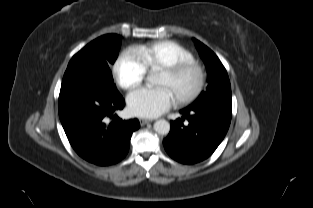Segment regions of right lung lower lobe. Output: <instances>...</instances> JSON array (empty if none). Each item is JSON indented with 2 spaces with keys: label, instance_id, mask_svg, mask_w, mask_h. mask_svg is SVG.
Instances as JSON below:
<instances>
[{
  "label": "right lung lower lobe",
  "instance_id": "98d812e1",
  "mask_svg": "<svg viewBox=\"0 0 313 208\" xmlns=\"http://www.w3.org/2000/svg\"><path fill=\"white\" fill-rule=\"evenodd\" d=\"M120 93L106 90L99 82L71 73L63 78L59 95V117L67 138L85 160L96 165H111L122 160L132 133L140 127L137 119H106L123 109Z\"/></svg>",
  "mask_w": 313,
  "mask_h": 208
}]
</instances>
